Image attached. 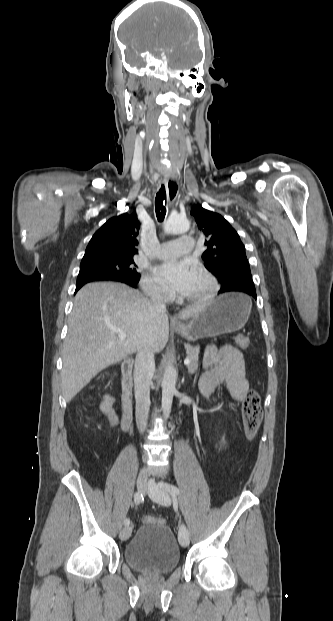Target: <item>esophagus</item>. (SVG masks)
<instances>
[{
    "instance_id": "1",
    "label": "esophagus",
    "mask_w": 333,
    "mask_h": 621,
    "mask_svg": "<svg viewBox=\"0 0 333 621\" xmlns=\"http://www.w3.org/2000/svg\"><path fill=\"white\" fill-rule=\"evenodd\" d=\"M179 182V178L178 175H171L170 177L166 178L164 180L165 183V187H166V193H167V200L169 202V204H173L177 194H178V184ZM172 324L175 326H180V322L173 320Z\"/></svg>"
}]
</instances>
